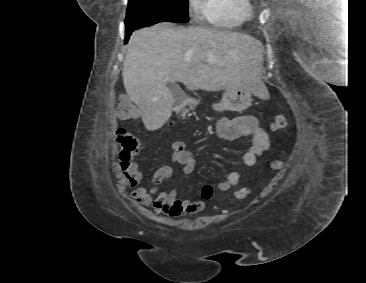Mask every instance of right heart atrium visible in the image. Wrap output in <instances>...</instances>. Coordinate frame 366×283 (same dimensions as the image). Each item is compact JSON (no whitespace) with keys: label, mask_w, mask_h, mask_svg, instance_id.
I'll use <instances>...</instances> for the list:
<instances>
[{"label":"right heart atrium","mask_w":366,"mask_h":283,"mask_svg":"<svg viewBox=\"0 0 366 283\" xmlns=\"http://www.w3.org/2000/svg\"><path fill=\"white\" fill-rule=\"evenodd\" d=\"M203 0H188V5L195 15H199L203 9Z\"/></svg>","instance_id":"right-heart-atrium-1"}]
</instances>
